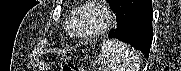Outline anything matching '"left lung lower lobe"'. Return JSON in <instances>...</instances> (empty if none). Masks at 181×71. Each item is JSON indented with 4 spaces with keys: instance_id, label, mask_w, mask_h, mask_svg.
Masks as SVG:
<instances>
[{
    "instance_id": "obj_1",
    "label": "left lung lower lobe",
    "mask_w": 181,
    "mask_h": 71,
    "mask_svg": "<svg viewBox=\"0 0 181 71\" xmlns=\"http://www.w3.org/2000/svg\"><path fill=\"white\" fill-rule=\"evenodd\" d=\"M117 27L108 34L140 50L148 58L153 38L151 0H116Z\"/></svg>"
}]
</instances>
